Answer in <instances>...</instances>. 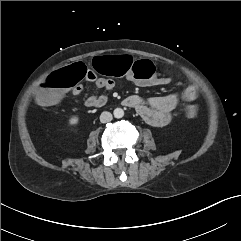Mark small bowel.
I'll use <instances>...</instances> for the list:
<instances>
[{
  "instance_id": "obj_1",
  "label": "small bowel",
  "mask_w": 241,
  "mask_h": 241,
  "mask_svg": "<svg viewBox=\"0 0 241 241\" xmlns=\"http://www.w3.org/2000/svg\"><path fill=\"white\" fill-rule=\"evenodd\" d=\"M88 76L85 78L88 81L94 82L97 90L108 92L111 91L116 83L113 79L103 76H98L91 69H88ZM169 82L166 77H152L139 82L140 86L151 87L165 85ZM74 96H79L83 92V87L77 84L72 89ZM198 87L189 85L180 93H174L166 96L142 97L139 95H129L123 100L126 107L134 109L138 115L148 124L155 127H163L171 121L172 111L182 102H190L197 98ZM108 101L105 93L93 94L87 97L84 105L87 108L103 107Z\"/></svg>"
}]
</instances>
